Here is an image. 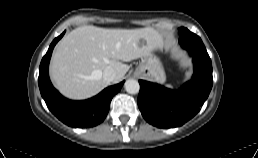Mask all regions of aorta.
I'll return each instance as SVG.
<instances>
[{"label":"aorta","instance_id":"1","mask_svg":"<svg viewBox=\"0 0 258 158\" xmlns=\"http://www.w3.org/2000/svg\"><path fill=\"white\" fill-rule=\"evenodd\" d=\"M124 86H125V90L129 94H137L139 92V89H140V85H139L138 81L134 80V79L126 80Z\"/></svg>","mask_w":258,"mask_h":158}]
</instances>
